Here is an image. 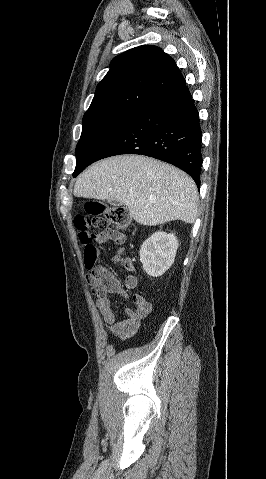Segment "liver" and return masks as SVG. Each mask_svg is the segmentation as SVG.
<instances>
[{"label": "liver", "mask_w": 266, "mask_h": 479, "mask_svg": "<svg viewBox=\"0 0 266 479\" xmlns=\"http://www.w3.org/2000/svg\"><path fill=\"white\" fill-rule=\"evenodd\" d=\"M74 195L119 201L129 208L137 223L146 226L173 220L192 224L197 218L194 181L174 166L141 155H119L96 162L78 177Z\"/></svg>", "instance_id": "6515ba94"}]
</instances>
